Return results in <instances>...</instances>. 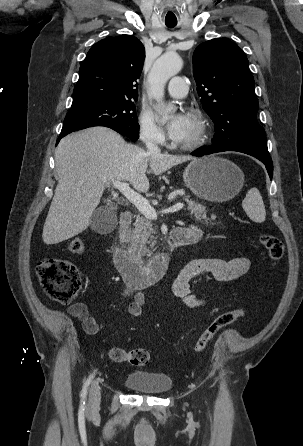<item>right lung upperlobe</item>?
I'll return each mask as SVG.
<instances>
[{
    "instance_id": "obj_1",
    "label": "right lung upper lobe",
    "mask_w": 303,
    "mask_h": 446,
    "mask_svg": "<svg viewBox=\"0 0 303 446\" xmlns=\"http://www.w3.org/2000/svg\"><path fill=\"white\" fill-rule=\"evenodd\" d=\"M145 49L132 35L97 42L82 63L71 108L95 103L137 100Z\"/></svg>"
}]
</instances>
